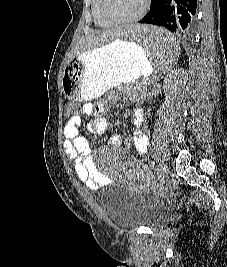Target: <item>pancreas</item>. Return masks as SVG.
Segmentation results:
<instances>
[{"label":"pancreas","mask_w":227,"mask_h":267,"mask_svg":"<svg viewBox=\"0 0 227 267\" xmlns=\"http://www.w3.org/2000/svg\"><path fill=\"white\" fill-rule=\"evenodd\" d=\"M150 85V80L147 78L142 79V81L140 82H136L135 84H129L127 86L124 87H134V89H137L139 91H141L142 93H146L147 91V87Z\"/></svg>","instance_id":"cf45deb5"}]
</instances>
